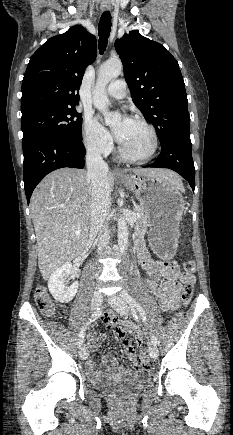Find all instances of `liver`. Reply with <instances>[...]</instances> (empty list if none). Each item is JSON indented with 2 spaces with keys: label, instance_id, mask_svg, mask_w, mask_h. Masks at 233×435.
Wrapping results in <instances>:
<instances>
[{
  "label": "liver",
  "instance_id": "6515ba94",
  "mask_svg": "<svg viewBox=\"0 0 233 435\" xmlns=\"http://www.w3.org/2000/svg\"><path fill=\"white\" fill-rule=\"evenodd\" d=\"M134 174L163 178L183 189L180 177L166 169H135ZM110 190L115 177L107 174ZM92 190L85 170L61 168L35 188L30 211L37 239L38 265L44 279L85 248L90 228ZM80 231V235H75Z\"/></svg>",
  "mask_w": 233,
  "mask_h": 435
}]
</instances>
